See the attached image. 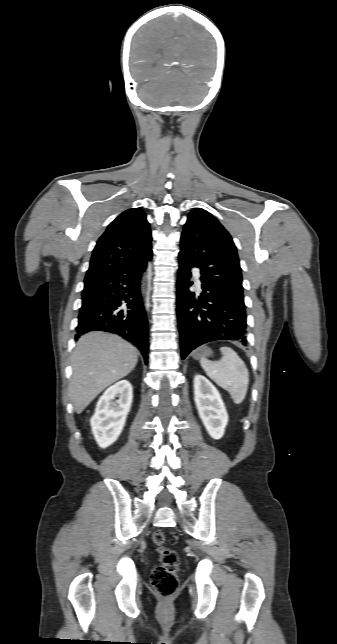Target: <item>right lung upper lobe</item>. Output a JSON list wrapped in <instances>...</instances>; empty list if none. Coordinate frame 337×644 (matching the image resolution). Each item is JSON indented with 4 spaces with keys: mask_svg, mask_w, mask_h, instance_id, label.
<instances>
[{
    "mask_svg": "<svg viewBox=\"0 0 337 644\" xmlns=\"http://www.w3.org/2000/svg\"><path fill=\"white\" fill-rule=\"evenodd\" d=\"M146 214L132 208L120 214L99 238L85 277L89 285L121 266L143 263L152 255Z\"/></svg>",
    "mask_w": 337,
    "mask_h": 644,
    "instance_id": "right-lung-upper-lobe-1",
    "label": "right lung upper lobe"
}]
</instances>
